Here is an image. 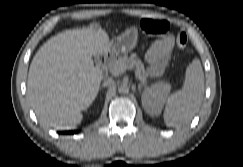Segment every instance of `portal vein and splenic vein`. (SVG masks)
Returning a JSON list of instances; mask_svg holds the SVG:
<instances>
[{"instance_id": "1", "label": "portal vein and splenic vein", "mask_w": 243, "mask_h": 167, "mask_svg": "<svg viewBox=\"0 0 243 167\" xmlns=\"http://www.w3.org/2000/svg\"><path fill=\"white\" fill-rule=\"evenodd\" d=\"M127 70V67L124 66H118L116 67L114 70H112L111 72L118 75L120 73H124ZM139 80H142L141 77L136 76Z\"/></svg>"}]
</instances>
